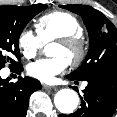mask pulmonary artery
<instances>
[{"label": "pulmonary artery", "instance_id": "pulmonary-artery-1", "mask_svg": "<svg viewBox=\"0 0 117 117\" xmlns=\"http://www.w3.org/2000/svg\"><path fill=\"white\" fill-rule=\"evenodd\" d=\"M86 86V84H83V87H85Z\"/></svg>", "mask_w": 117, "mask_h": 117}]
</instances>
